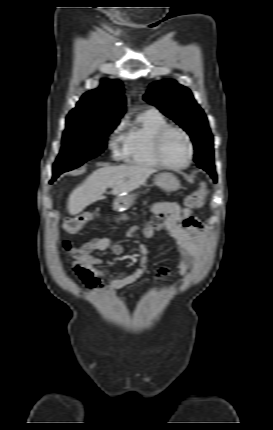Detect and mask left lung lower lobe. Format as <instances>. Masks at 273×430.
Wrapping results in <instances>:
<instances>
[{
  "label": "left lung lower lobe",
  "instance_id": "0a47b994",
  "mask_svg": "<svg viewBox=\"0 0 273 430\" xmlns=\"http://www.w3.org/2000/svg\"><path fill=\"white\" fill-rule=\"evenodd\" d=\"M198 167L207 171L211 175L213 180L215 182L217 181V177H216V173H215V166H214L213 160L201 162L198 164Z\"/></svg>",
  "mask_w": 273,
  "mask_h": 430
}]
</instances>
